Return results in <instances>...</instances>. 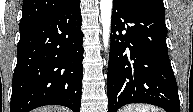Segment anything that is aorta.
Listing matches in <instances>:
<instances>
[{"label":"aorta","mask_w":193,"mask_h":112,"mask_svg":"<svg viewBox=\"0 0 193 112\" xmlns=\"http://www.w3.org/2000/svg\"><path fill=\"white\" fill-rule=\"evenodd\" d=\"M101 23L103 27L102 37L105 50L108 51L110 45L112 0H100Z\"/></svg>","instance_id":"1"}]
</instances>
